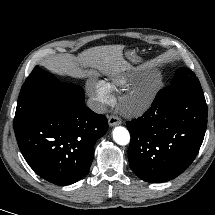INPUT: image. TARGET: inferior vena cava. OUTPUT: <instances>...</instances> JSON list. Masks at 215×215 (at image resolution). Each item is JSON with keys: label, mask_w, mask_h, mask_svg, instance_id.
<instances>
[{"label": "inferior vena cava", "mask_w": 215, "mask_h": 215, "mask_svg": "<svg viewBox=\"0 0 215 215\" xmlns=\"http://www.w3.org/2000/svg\"><path fill=\"white\" fill-rule=\"evenodd\" d=\"M87 105L89 108H91L93 111L97 113H106L107 112V106L103 103L97 102L93 99H89L87 101Z\"/></svg>", "instance_id": "602c4592"}]
</instances>
